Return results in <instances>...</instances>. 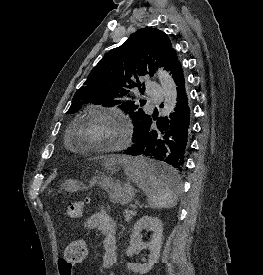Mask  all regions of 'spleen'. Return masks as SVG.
I'll use <instances>...</instances> for the list:
<instances>
[{"instance_id":"obj_1","label":"spleen","mask_w":263,"mask_h":275,"mask_svg":"<svg viewBox=\"0 0 263 275\" xmlns=\"http://www.w3.org/2000/svg\"><path fill=\"white\" fill-rule=\"evenodd\" d=\"M126 176L146 194L149 207L152 209L172 208L178 202L179 181L175 184L162 181L152 174L153 164L143 157H124L121 162Z\"/></svg>"}]
</instances>
